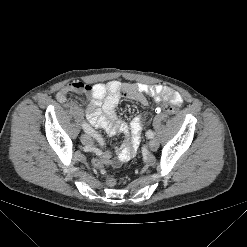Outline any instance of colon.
Wrapping results in <instances>:
<instances>
[{
    "instance_id": "1",
    "label": "colon",
    "mask_w": 247,
    "mask_h": 247,
    "mask_svg": "<svg viewBox=\"0 0 247 247\" xmlns=\"http://www.w3.org/2000/svg\"><path fill=\"white\" fill-rule=\"evenodd\" d=\"M162 110L165 111L166 113L170 114V115H175L177 112L176 108L170 104L163 105ZM94 166L99 170V172L102 175L106 176V182H107L108 186L112 187L115 185L116 180L113 177L107 175L105 167H104L105 165L102 161H99V160L95 161Z\"/></svg>"
}]
</instances>
